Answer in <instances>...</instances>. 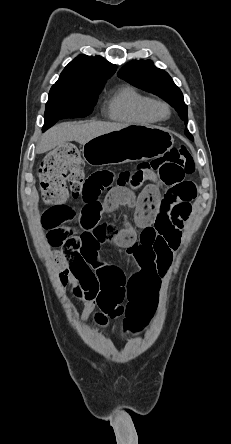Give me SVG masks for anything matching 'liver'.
Instances as JSON below:
<instances>
[{
    "label": "liver",
    "mask_w": 231,
    "mask_h": 444,
    "mask_svg": "<svg viewBox=\"0 0 231 444\" xmlns=\"http://www.w3.org/2000/svg\"><path fill=\"white\" fill-rule=\"evenodd\" d=\"M127 126V124L99 121L61 123L52 127L42 136L40 143L36 147V152L45 153L57 146H63L69 141H76L84 145L97 136L117 131Z\"/></svg>",
    "instance_id": "6515ba94"
}]
</instances>
